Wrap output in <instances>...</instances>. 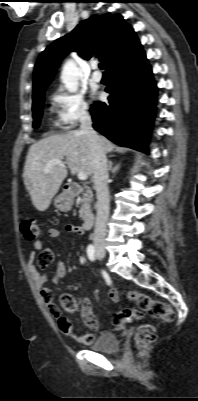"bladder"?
I'll use <instances>...</instances> for the list:
<instances>
[{"mask_svg":"<svg viewBox=\"0 0 198 401\" xmlns=\"http://www.w3.org/2000/svg\"><path fill=\"white\" fill-rule=\"evenodd\" d=\"M119 348V340L114 333H103L91 344V349L102 352H115Z\"/></svg>","mask_w":198,"mask_h":401,"instance_id":"obj_1","label":"bladder"}]
</instances>
